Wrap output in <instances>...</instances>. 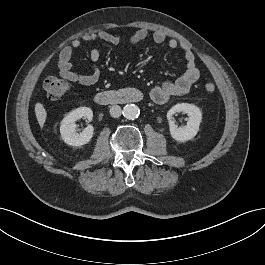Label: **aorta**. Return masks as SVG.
<instances>
[{
	"mask_svg": "<svg viewBox=\"0 0 265 265\" xmlns=\"http://www.w3.org/2000/svg\"><path fill=\"white\" fill-rule=\"evenodd\" d=\"M139 114H140V109L138 108V106H136L134 104H127L123 108V116L126 119L134 120V119L138 118Z\"/></svg>",
	"mask_w": 265,
	"mask_h": 265,
	"instance_id": "762f6f07",
	"label": "aorta"
}]
</instances>
